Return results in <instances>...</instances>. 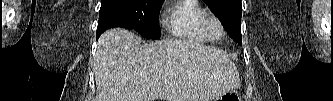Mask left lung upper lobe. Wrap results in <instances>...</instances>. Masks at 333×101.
<instances>
[{"mask_svg":"<svg viewBox=\"0 0 333 101\" xmlns=\"http://www.w3.org/2000/svg\"><path fill=\"white\" fill-rule=\"evenodd\" d=\"M218 17L227 33L239 44L241 39L242 4L240 0H204Z\"/></svg>","mask_w":333,"mask_h":101,"instance_id":"1","label":"left lung upper lobe"}]
</instances>
